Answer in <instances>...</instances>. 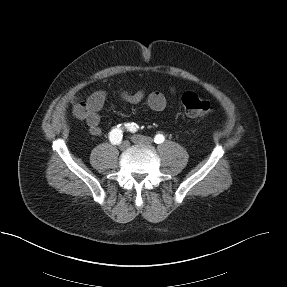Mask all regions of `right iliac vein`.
<instances>
[{
    "mask_svg": "<svg viewBox=\"0 0 287 287\" xmlns=\"http://www.w3.org/2000/svg\"><path fill=\"white\" fill-rule=\"evenodd\" d=\"M129 142L128 141H124L120 144L119 148L120 150H126L129 147Z\"/></svg>",
    "mask_w": 287,
    "mask_h": 287,
    "instance_id": "63e3f726",
    "label": "right iliac vein"
}]
</instances>
